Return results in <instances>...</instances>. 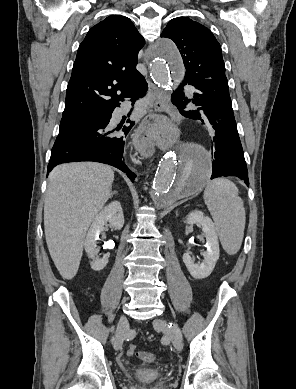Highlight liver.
<instances>
[{
  "label": "liver",
  "mask_w": 296,
  "mask_h": 389,
  "mask_svg": "<svg viewBox=\"0 0 296 389\" xmlns=\"http://www.w3.org/2000/svg\"><path fill=\"white\" fill-rule=\"evenodd\" d=\"M114 172L95 162L55 167L49 175L44 203L45 237L60 275L77 274L86 232L112 194Z\"/></svg>",
  "instance_id": "liver-1"
}]
</instances>
